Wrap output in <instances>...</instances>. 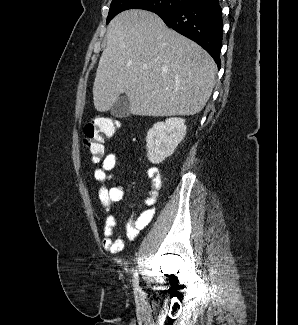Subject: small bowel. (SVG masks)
<instances>
[{"instance_id":"c3829d8e","label":"small bowel","mask_w":298,"mask_h":325,"mask_svg":"<svg viewBox=\"0 0 298 325\" xmlns=\"http://www.w3.org/2000/svg\"><path fill=\"white\" fill-rule=\"evenodd\" d=\"M118 155L111 153L106 155L100 162V157L94 162L99 166L94 172V177L103 185L99 189V200L106 212L104 224L103 247L111 253L121 252L125 246V239L122 236L114 238V228L117 223V215L113 206L120 202L124 196V188L120 185L107 186L105 183L113 177L115 166L118 162ZM147 177L150 181V190L144 200L145 209L140 214H132L126 224V238L133 241L138 233L144 229L153 219L158 191L161 187L162 178L158 168L151 167L147 170Z\"/></svg>"}]
</instances>
